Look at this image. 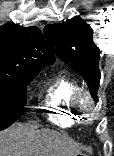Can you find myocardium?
I'll return each mask as SVG.
<instances>
[{"instance_id":"myocardium-1","label":"myocardium","mask_w":114,"mask_h":156,"mask_svg":"<svg viewBox=\"0 0 114 156\" xmlns=\"http://www.w3.org/2000/svg\"><path fill=\"white\" fill-rule=\"evenodd\" d=\"M84 101L87 102L86 105L84 104ZM72 105L82 117H85L83 119L87 122L90 121L95 114L96 101L92 93L87 89L80 88L74 94Z\"/></svg>"}]
</instances>
